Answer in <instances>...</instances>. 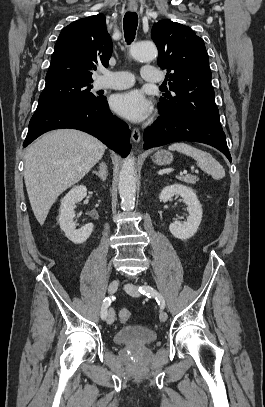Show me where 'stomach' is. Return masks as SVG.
Returning a JSON list of instances; mask_svg holds the SVG:
<instances>
[{
    "instance_id": "1",
    "label": "stomach",
    "mask_w": 265,
    "mask_h": 407,
    "mask_svg": "<svg viewBox=\"0 0 265 407\" xmlns=\"http://www.w3.org/2000/svg\"><path fill=\"white\" fill-rule=\"evenodd\" d=\"M152 160L157 165H168L173 161V155L166 150H159L153 155Z\"/></svg>"
}]
</instances>
